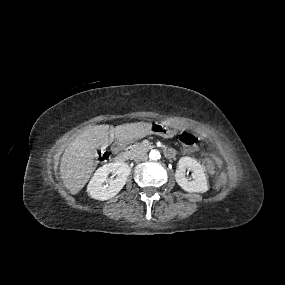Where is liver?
I'll list each match as a JSON object with an SVG mask.
<instances>
[{
  "instance_id": "6515ba94",
  "label": "liver",
  "mask_w": 285,
  "mask_h": 285,
  "mask_svg": "<svg viewBox=\"0 0 285 285\" xmlns=\"http://www.w3.org/2000/svg\"><path fill=\"white\" fill-rule=\"evenodd\" d=\"M150 127L147 122L127 123L115 128L107 124L87 127L68 144L61 157L60 174L65 187L71 194H77L83 188L95 165L94 149L106 148L113 136L119 141H132L144 136Z\"/></svg>"
}]
</instances>
